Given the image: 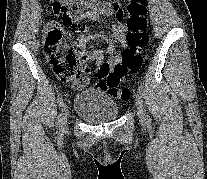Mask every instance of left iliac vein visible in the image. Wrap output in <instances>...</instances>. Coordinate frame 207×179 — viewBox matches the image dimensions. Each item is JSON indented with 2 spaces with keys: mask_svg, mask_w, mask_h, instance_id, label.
<instances>
[{
  "mask_svg": "<svg viewBox=\"0 0 207 179\" xmlns=\"http://www.w3.org/2000/svg\"><path fill=\"white\" fill-rule=\"evenodd\" d=\"M136 106H137V112L139 119L143 122L147 120L146 114L143 109V103H142V97L139 93L135 96Z\"/></svg>",
  "mask_w": 207,
  "mask_h": 179,
  "instance_id": "obj_1",
  "label": "left iliac vein"
}]
</instances>
